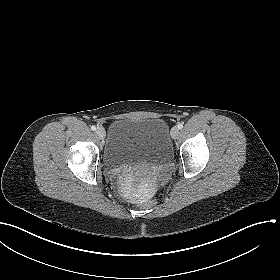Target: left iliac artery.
Masks as SVG:
<instances>
[{
    "label": "left iliac artery",
    "instance_id": "1",
    "mask_svg": "<svg viewBox=\"0 0 280 280\" xmlns=\"http://www.w3.org/2000/svg\"><path fill=\"white\" fill-rule=\"evenodd\" d=\"M177 127H178L179 129H182V128H183V124H182V123H179V124L177 125Z\"/></svg>",
    "mask_w": 280,
    "mask_h": 280
}]
</instances>
